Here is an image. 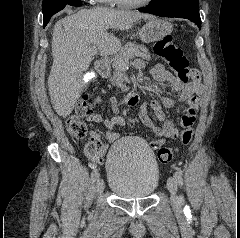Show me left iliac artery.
<instances>
[{
	"instance_id": "44dca946",
	"label": "left iliac artery",
	"mask_w": 240,
	"mask_h": 238,
	"mask_svg": "<svg viewBox=\"0 0 240 238\" xmlns=\"http://www.w3.org/2000/svg\"><path fill=\"white\" fill-rule=\"evenodd\" d=\"M174 177L180 186H183L182 171L180 168H175ZM186 209H188L186 207Z\"/></svg>"
}]
</instances>
